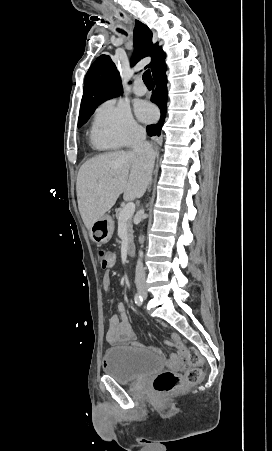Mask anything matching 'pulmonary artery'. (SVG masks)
I'll return each mask as SVG.
<instances>
[{"instance_id": "obj_1", "label": "pulmonary artery", "mask_w": 272, "mask_h": 451, "mask_svg": "<svg viewBox=\"0 0 272 451\" xmlns=\"http://www.w3.org/2000/svg\"><path fill=\"white\" fill-rule=\"evenodd\" d=\"M134 94L137 96H143L145 94L144 86L139 81L137 85L135 86V89L133 90Z\"/></svg>"}]
</instances>
